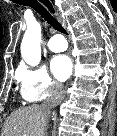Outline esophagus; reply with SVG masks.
Masks as SVG:
<instances>
[{
	"instance_id": "obj_1",
	"label": "esophagus",
	"mask_w": 117,
	"mask_h": 136,
	"mask_svg": "<svg viewBox=\"0 0 117 136\" xmlns=\"http://www.w3.org/2000/svg\"><path fill=\"white\" fill-rule=\"evenodd\" d=\"M39 2H40L43 6H45L44 3H46V2L50 3V5H51V9H50V10H49L46 6H45V7H46L53 15H55V16L58 15L56 8L54 7V5L52 4V2H51L50 0H39ZM43 2H44V3H43Z\"/></svg>"
}]
</instances>
